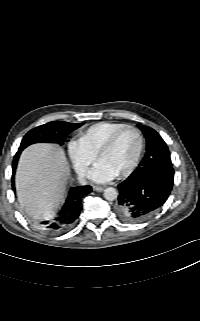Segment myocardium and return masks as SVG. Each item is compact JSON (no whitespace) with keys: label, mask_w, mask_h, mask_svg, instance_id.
I'll list each match as a JSON object with an SVG mask.
<instances>
[{"label":"myocardium","mask_w":200,"mask_h":321,"mask_svg":"<svg viewBox=\"0 0 200 321\" xmlns=\"http://www.w3.org/2000/svg\"><path fill=\"white\" fill-rule=\"evenodd\" d=\"M127 131H133L137 137H138V150L137 153L135 155L134 160L132 161V163L130 164V166L124 170L122 173L118 174L117 176L119 178H124L129 176L138 166L140 159L142 157L143 154V150H144V137L142 132L135 126H131V125H127L123 128H121L120 130H118L117 132H115L99 149L97 156L100 159L101 155L108 151L109 149H111L119 140V138Z\"/></svg>","instance_id":"1"}]
</instances>
